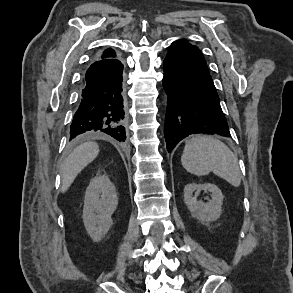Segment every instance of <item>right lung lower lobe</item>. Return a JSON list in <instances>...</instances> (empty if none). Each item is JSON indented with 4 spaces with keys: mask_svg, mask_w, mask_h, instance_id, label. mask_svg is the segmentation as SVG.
Instances as JSON below:
<instances>
[{
    "mask_svg": "<svg viewBox=\"0 0 293 293\" xmlns=\"http://www.w3.org/2000/svg\"><path fill=\"white\" fill-rule=\"evenodd\" d=\"M122 72L123 64L118 59L96 60L90 65L71 124L70 141L107 135L125 141Z\"/></svg>",
    "mask_w": 293,
    "mask_h": 293,
    "instance_id": "98d812e1",
    "label": "right lung lower lobe"
}]
</instances>
